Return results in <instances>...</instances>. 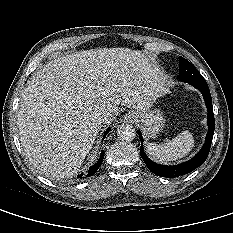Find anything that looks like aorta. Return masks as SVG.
<instances>
[{"mask_svg":"<svg viewBox=\"0 0 233 233\" xmlns=\"http://www.w3.org/2000/svg\"><path fill=\"white\" fill-rule=\"evenodd\" d=\"M117 136L120 140L130 142L136 136L135 128L129 124H122L117 128Z\"/></svg>","mask_w":233,"mask_h":233,"instance_id":"obj_1","label":"aorta"}]
</instances>
